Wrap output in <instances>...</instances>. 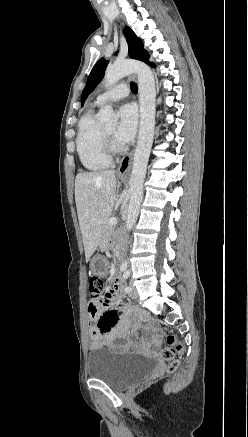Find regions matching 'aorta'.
<instances>
[{
    "label": "aorta",
    "instance_id": "obj_1",
    "mask_svg": "<svg viewBox=\"0 0 248 437\" xmlns=\"http://www.w3.org/2000/svg\"><path fill=\"white\" fill-rule=\"evenodd\" d=\"M132 73H135L138 77L140 125L130 178L131 196L127 210V231H131L135 225L143 199V183L146 176V169L155 130V79L151 69L145 63L135 60H125L114 63L107 68L104 77L106 86H112L123 77ZM97 119L101 123L112 127L116 126L118 122L117 115L109 105L99 111Z\"/></svg>",
    "mask_w": 248,
    "mask_h": 437
}]
</instances>
